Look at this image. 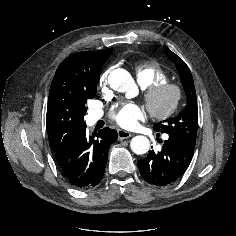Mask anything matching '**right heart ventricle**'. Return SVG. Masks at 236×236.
<instances>
[{"instance_id": "1", "label": "right heart ventricle", "mask_w": 236, "mask_h": 236, "mask_svg": "<svg viewBox=\"0 0 236 236\" xmlns=\"http://www.w3.org/2000/svg\"><path fill=\"white\" fill-rule=\"evenodd\" d=\"M135 71L138 83L145 89L153 84L165 82L168 79L161 65L154 61L137 65Z\"/></svg>"}]
</instances>
